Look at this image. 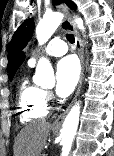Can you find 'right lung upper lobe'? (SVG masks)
<instances>
[{
    "instance_id": "cb5924a9",
    "label": "right lung upper lobe",
    "mask_w": 114,
    "mask_h": 156,
    "mask_svg": "<svg viewBox=\"0 0 114 156\" xmlns=\"http://www.w3.org/2000/svg\"><path fill=\"white\" fill-rule=\"evenodd\" d=\"M25 55L23 52H21L19 54V56L17 57L16 61L14 62V64L12 65V68L10 69V77H13L15 72L17 71V69L19 68V66L22 64V62L24 61Z\"/></svg>"
}]
</instances>
